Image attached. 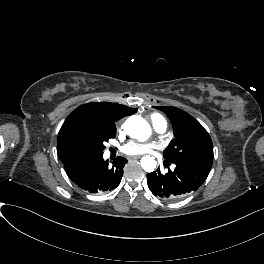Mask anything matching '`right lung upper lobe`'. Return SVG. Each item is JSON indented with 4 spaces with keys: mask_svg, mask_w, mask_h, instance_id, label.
I'll return each mask as SVG.
<instances>
[{
    "mask_svg": "<svg viewBox=\"0 0 264 264\" xmlns=\"http://www.w3.org/2000/svg\"><path fill=\"white\" fill-rule=\"evenodd\" d=\"M116 108L73 112L63 124L57 153L64 169L79 186L87 183L120 164L116 159H104L109 140L116 135L117 122L137 109L115 104ZM112 148H110L111 150Z\"/></svg>",
    "mask_w": 264,
    "mask_h": 264,
    "instance_id": "right-lung-upper-lobe-1",
    "label": "right lung upper lobe"
}]
</instances>
